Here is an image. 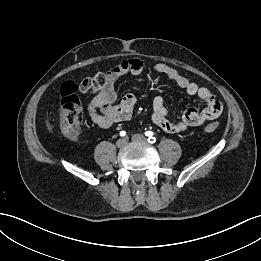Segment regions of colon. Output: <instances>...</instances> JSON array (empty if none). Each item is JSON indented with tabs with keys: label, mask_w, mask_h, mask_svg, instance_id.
I'll list each match as a JSON object with an SVG mask.
<instances>
[{
	"label": "colon",
	"mask_w": 261,
	"mask_h": 261,
	"mask_svg": "<svg viewBox=\"0 0 261 261\" xmlns=\"http://www.w3.org/2000/svg\"><path fill=\"white\" fill-rule=\"evenodd\" d=\"M104 73H98L82 82L83 88L96 92L105 86ZM78 86L73 82H65L60 90L61 102L59 107V124L61 132L69 139L77 140L81 137L82 110L77 95ZM219 128V122L206 125L205 131L212 133Z\"/></svg>",
	"instance_id": "colon-1"
}]
</instances>
